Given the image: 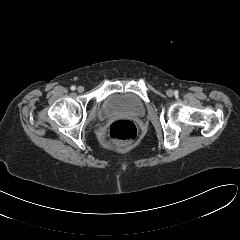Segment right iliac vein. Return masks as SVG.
<instances>
[{"label": "right iliac vein", "instance_id": "1", "mask_svg": "<svg viewBox=\"0 0 240 240\" xmlns=\"http://www.w3.org/2000/svg\"><path fill=\"white\" fill-rule=\"evenodd\" d=\"M77 91H78L79 93H82V92L84 91V87H83V86H79V87L77 88Z\"/></svg>", "mask_w": 240, "mask_h": 240}]
</instances>
